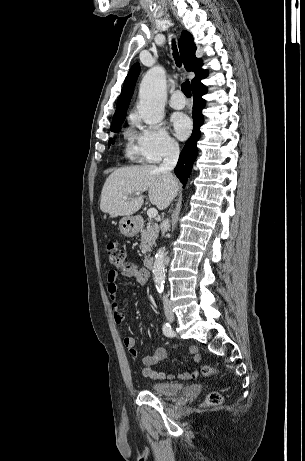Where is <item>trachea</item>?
Wrapping results in <instances>:
<instances>
[{
	"label": "trachea",
	"mask_w": 305,
	"mask_h": 461,
	"mask_svg": "<svg viewBox=\"0 0 305 461\" xmlns=\"http://www.w3.org/2000/svg\"><path fill=\"white\" fill-rule=\"evenodd\" d=\"M173 57L177 66H181V61L175 43L173 42ZM182 92L186 97H191V86L189 81H185L181 86Z\"/></svg>",
	"instance_id": "trachea-1"
}]
</instances>
